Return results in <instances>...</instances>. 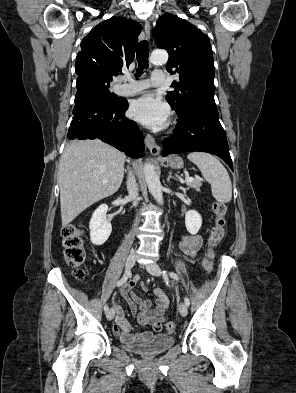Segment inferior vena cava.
I'll use <instances>...</instances> for the list:
<instances>
[{"label":"inferior vena cava","instance_id":"obj_1","mask_svg":"<svg viewBox=\"0 0 296 393\" xmlns=\"http://www.w3.org/2000/svg\"><path fill=\"white\" fill-rule=\"evenodd\" d=\"M128 197L136 203V198L138 196V188L135 177L132 172L129 171L128 181H127Z\"/></svg>","mask_w":296,"mask_h":393}]
</instances>
